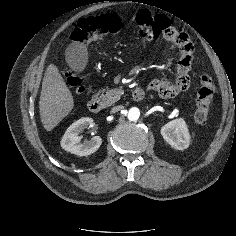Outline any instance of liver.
Here are the masks:
<instances>
[{"mask_svg": "<svg viewBox=\"0 0 236 236\" xmlns=\"http://www.w3.org/2000/svg\"><path fill=\"white\" fill-rule=\"evenodd\" d=\"M73 96L57 66L50 64L44 74L39 101L40 118L47 131L53 130L73 109Z\"/></svg>", "mask_w": 236, "mask_h": 236, "instance_id": "liver-1", "label": "liver"}]
</instances>
